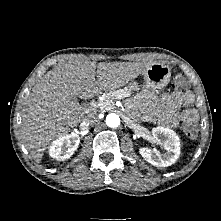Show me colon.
Returning a JSON list of instances; mask_svg holds the SVG:
<instances>
[{
	"instance_id": "colon-1",
	"label": "colon",
	"mask_w": 221,
	"mask_h": 221,
	"mask_svg": "<svg viewBox=\"0 0 221 221\" xmlns=\"http://www.w3.org/2000/svg\"><path fill=\"white\" fill-rule=\"evenodd\" d=\"M172 87L174 89H184L186 87V81L181 75H175L172 79ZM183 130L185 134L191 138L195 139L198 134L197 124L194 119L183 120Z\"/></svg>"
}]
</instances>
